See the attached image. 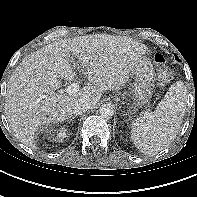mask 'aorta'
<instances>
[{
	"label": "aorta",
	"mask_w": 197,
	"mask_h": 197,
	"mask_svg": "<svg viewBox=\"0 0 197 197\" xmlns=\"http://www.w3.org/2000/svg\"><path fill=\"white\" fill-rule=\"evenodd\" d=\"M99 113L103 118L109 119L114 115V108L110 104H104L100 107Z\"/></svg>",
	"instance_id": "762f6f07"
}]
</instances>
